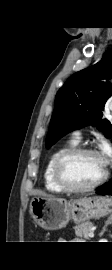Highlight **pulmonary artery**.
Segmentation results:
<instances>
[{
    "mask_svg": "<svg viewBox=\"0 0 112 270\" xmlns=\"http://www.w3.org/2000/svg\"><path fill=\"white\" fill-rule=\"evenodd\" d=\"M73 138H74V140L76 141V142H78L79 140H80V138H81V136H80V132L79 131H75L74 133H73Z\"/></svg>",
    "mask_w": 112,
    "mask_h": 270,
    "instance_id": "obj_1",
    "label": "pulmonary artery"
}]
</instances>
